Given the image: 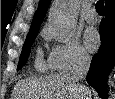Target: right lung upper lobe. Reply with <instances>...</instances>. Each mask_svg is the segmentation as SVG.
<instances>
[{
    "label": "right lung upper lobe",
    "instance_id": "cb5924a9",
    "mask_svg": "<svg viewBox=\"0 0 115 99\" xmlns=\"http://www.w3.org/2000/svg\"><path fill=\"white\" fill-rule=\"evenodd\" d=\"M50 1L51 0H40L38 9L33 17V21H32L31 28L29 30L28 35L38 33L40 24L46 15ZM112 5L113 6L115 5V0H106L105 1V8L112 6Z\"/></svg>",
    "mask_w": 115,
    "mask_h": 99
}]
</instances>
